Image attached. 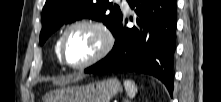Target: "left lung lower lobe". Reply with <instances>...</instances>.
Segmentation results:
<instances>
[{"instance_id":"left-lung-lower-lobe-1","label":"left lung lower lobe","mask_w":221,"mask_h":102,"mask_svg":"<svg viewBox=\"0 0 221 102\" xmlns=\"http://www.w3.org/2000/svg\"><path fill=\"white\" fill-rule=\"evenodd\" d=\"M137 14L136 26L121 20L111 52L86 73L134 71L157 77L173 93V58L176 48L175 0H127ZM132 20V19H131Z\"/></svg>"}]
</instances>
